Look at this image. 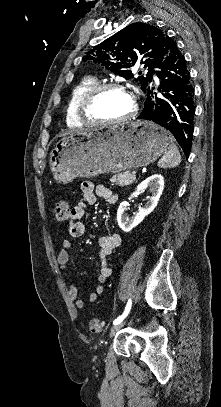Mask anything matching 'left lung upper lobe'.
<instances>
[{
	"mask_svg": "<svg viewBox=\"0 0 221 407\" xmlns=\"http://www.w3.org/2000/svg\"><path fill=\"white\" fill-rule=\"evenodd\" d=\"M172 43L171 38L159 28L136 22L93 47L83 60H92L126 79L133 77L130 68L140 62L149 68L146 77H138L145 90L156 72L154 69L166 58Z\"/></svg>",
	"mask_w": 221,
	"mask_h": 407,
	"instance_id": "5c2ea615",
	"label": "left lung upper lobe"
}]
</instances>
